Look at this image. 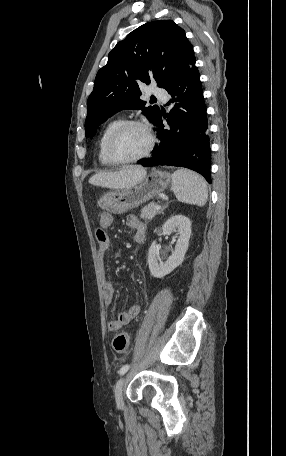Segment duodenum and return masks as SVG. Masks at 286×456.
<instances>
[{"label":"duodenum","instance_id":"1","mask_svg":"<svg viewBox=\"0 0 286 456\" xmlns=\"http://www.w3.org/2000/svg\"><path fill=\"white\" fill-rule=\"evenodd\" d=\"M143 240H144V237L140 238L138 241L143 242Z\"/></svg>","mask_w":286,"mask_h":456}]
</instances>
